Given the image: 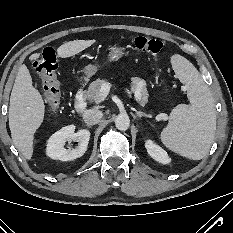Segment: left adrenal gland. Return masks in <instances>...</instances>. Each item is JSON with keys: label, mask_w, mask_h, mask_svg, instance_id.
Here are the masks:
<instances>
[{"label": "left adrenal gland", "mask_w": 233, "mask_h": 233, "mask_svg": "<svg viewBox=\"0 0 233 233\" xmlns=\"http://www.w3.org/2000/svg\"><path fill=\"white\" fill-rule=\"evenodd\" d=\"M136 115H137L138 117H148V118H151V115L146 114V113H144V112H142V111H136Z\"/></svg>", "instance_id": "1"}]
</instances>
